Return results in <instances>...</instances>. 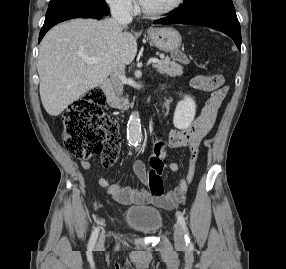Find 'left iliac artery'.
<instances>
[{"instance_id": "1", "label": "left iliac artery", "mask_w": 286, "mask_h": 269, "mask_svg": "<svg viewBox=\"0 0 286 269\" xmlns=\"http://www.w3.org/2000/svg\"><path fill=\"white\" fill-rule=\"evenodd\" d=\"M178 222L180 223V225L182 226V228L184 230L186 244L188 246H192L190 235H189V232H188V229H187V226H186V221H185V218H184L182 213L178 214Z\"/></svg>"}]
</instances>
